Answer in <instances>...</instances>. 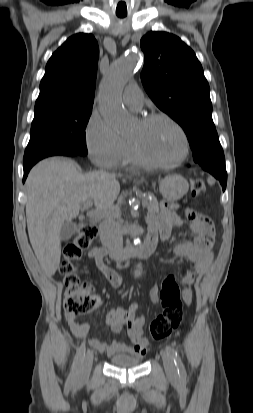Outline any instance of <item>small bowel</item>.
I'll return each instance as SVG.
<instances>
[{
	"label": "small bowel",
	"instance_id": "c3829d8e",
	"mask_svg": "<svg viewBox=\"0 0 253 413\" xmlns=\"http://www.w3.org/2000/svg\"><path fill=\"white\" fill-rule=\"evenodd\" d=\"M177 208L179 206L176 204L163 202L160 206V212L158 214H150L147 223L149 232L159 237L174 257H183L193 263L194 268L188 270L181 279V283L184 286L182 291L183 300L185 306L189 307L192 300L190 285L213 261L215 231L213 223L204 214L190 208H184V214L179 215L176 212ZM184 226L194 234V239L192 241L172 242V228ZM88 257L94 259L98 269L113 287L119 288L122 285V276L105 263V256L101 254L99 247L92 248L88 252ZM149 300L153 304L159 302L158 286L155 285L150 288ZM137 309L136 304H131L128 309L118 307L111 310L106 317V323L112 331L118 333L123 328H126V334L131 342V346H127L117 340H112L111 342H103L96 338L88 340V323L79 322L75 316L67 313L65 318L76 338L82 340L84 344L87 341L91 347L101 353H106L108 356L117 354L143 356L146 353L149 342L142 335L143 319L136 316Z\"/></svg>",
	"mask_w": 253,
	"mask_h": 413
}]
</instances>
